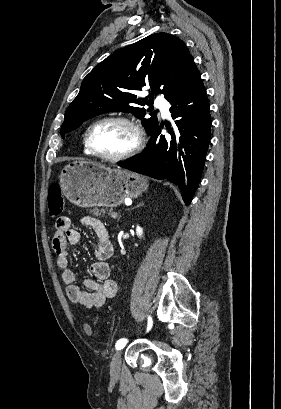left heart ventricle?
Returning a JSON list of instances; mask_svg holds the SVG:
<instances>
[{
	"label": "left heart ventricle",
	"mask_w": 281,
	"mask_h": 409,
	"mask_svg": "<svg viewBox=\"0 0 281 409\" xmlns=\"http://www.w3.org/2000/svg\"><path fill=\"white\" fill-rule=\"evenodd\" d=\"M134 131L122 123H107L101 126L95 136L96 149L100 154L116 156L133 146Z\"/></svg>",
	"instance_id": "obj_1"
}]
</instances>
